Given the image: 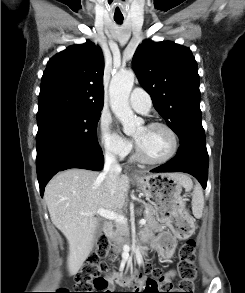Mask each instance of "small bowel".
Segmentation results:
<instances>
[{
  "label": "small bowel",
  "instance_id": "small-bowel-1",
  "mask_svg": "<svg viewBox=\"0 0 245 293\" xmlns=\"http://www.w3.org/2000/svg\"><path fill=\"white\" fill-rule=\"evenodd\" d=\"M149 237L148 232L143 233V239L146 240ZM176 248V238L170 231L162 232L158 235V244H157V251L160 257L164 260H168L174 254ZM176 276V271L171 270L169 271L163 279V284L168 286L171 280ZM110 280L116 282L119 285H124V281L116 274L112 273L110 275Z\"/></svg>",
  "mask_w": 245,
  "mask_h": 293
}]
</instances>
